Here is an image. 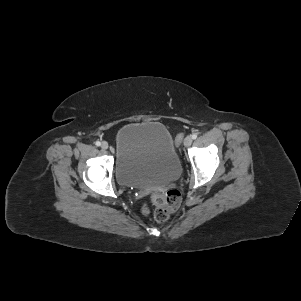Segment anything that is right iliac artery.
Here are the masks:
<instances>
[{
  "mask_svg": "<svg viewBox=\"0 0 301 301\" xmlns=\"http://www.w3.org/2000/svg\"><path fill=\"white\" fill-rule=\"evenodd\" d=\"M95 145H96V146H100V145H101L100 141H96V142H95Z\"/></svg>",
  "mask_w": 301,
  "mask_h": 301,
  "instance_id": "obj_1",
  "label": "right iliac artery"
}]
</instances>
